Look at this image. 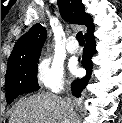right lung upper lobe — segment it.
<instances>
[{"label":"right lung upper lobe","instance_id":"cb5924a9","mask_svg":"<svg viewBox=\"0 0 122 123\" xmlns=\"http://www.w3.org/2000/svg\"><path fill=\"white\" fill-rule=\"evenodd\" d=\"M58 7L64 20L87 26V34L94 30L93 20L89 14L85 13L81 0H58ZM46 35L45 27L39 23L33 25L15 44L8 60L7 69L40 56Z\"/></svg>","mask_w":122,"mask_h":123}]
</instances>
